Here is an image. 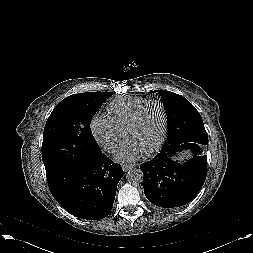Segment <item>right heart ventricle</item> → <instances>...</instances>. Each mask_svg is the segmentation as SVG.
Returning a JSON list of instances; mask_svg holds the SVG:
<instances>
[{"label": "right heart ventricle", "mask_w": 253, "mask_h": 253, "mask_svg": "<svg viewBox=\"0 0 253 253\" xmlns=\"http://www.w3.org/2000/svg\"><path fill=\"white\" fill-rule=\"evenodd\" d=\"M146 101L147 99L131 96L113 99L107 107L109 120L123 132L135 111Z\"/></svg>", "instance_id": "1"}]
</instances>
